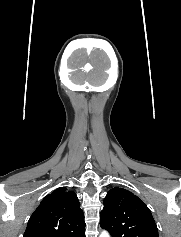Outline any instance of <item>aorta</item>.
I'll use <instances>...</instances> for the list:
<instances>
[{
    "label": "aorta",
    "instance_id": "1",
    "mask_svg": "<svg viewBox=\"0 0 181 237\" xmlns=\"http://www.w3.org/2000/svg\"><path fill=\"white\" fill-rule=\"evenodd\" d=\"M100 237H110V235L107 231H102V233L100 234Z\"/></svg>",
    "mask_w": 181,
    "mask_h": 237
}]
</instances>
